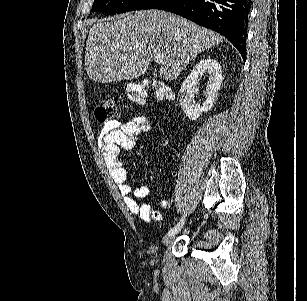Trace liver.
I'll use <instances>...</instances> for the list:
<instances>
[{"mask_svg":"<svg viewBox=\"0 0 307 301\" xmlns=\"http://www.w3.org/2000/svg\"><path fill=\"white\" fill-rule=\"evenodd\" d=\"M86 40L85 68L95 82L131 80L161 54L164 80L178 78L192 58L224 36L165 10H135L120 18L94 20Z\"/></svg>","mask_w":307,"mask_h":301,"instance_id":"6515ba94","label":"liver"}]
</instances>
